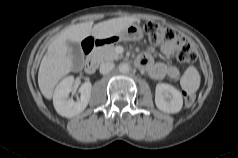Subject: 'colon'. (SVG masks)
Instances as JSON below:
<instances>
[{
	"mask_svg": "<svg viewBox=\"0 0 238 158\" xmlns=\"http://www.w3.org/2000/svg\"><path fill=\"white\" fill-rule=\"evenodd\" d=\"M144 30L148 35L149 42L154 46H158L169 41L179 40L181 42V46L178 52V60L182 63L188 64L196 62L197 54L193 46L186 42L183 38L179 37L173 29L159 23L147 22L144 25ZM90 41L91 40H88L86 43ZM183 96L186 106L193 104L195 100L194 93L185 91L183 92Z\"/></svg>",
	"mask_w": 238,
	"mask_h": 158,
	"instance_id": "colon-1",
	"label": "colon"
}]
</instances>
